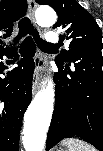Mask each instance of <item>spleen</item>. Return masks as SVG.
Returning <instances> with one entry per match:
<instances>
[{
  "label": "spleen",
  "mask_w": 103,
  "mask_h": 151,
  "mask_svg": "<svg viewBox=\"0 0 103 151\" xmlns=\"http://www.w3.org/2000/svg\"><path fill=\"white\" fill-rule=\"evenodd\" d=\"M62 145L67 146L70 151H96L92 146L77 138L65 139Z\"/></svg>",
  "instance_id": "1"
}]
</instances>
